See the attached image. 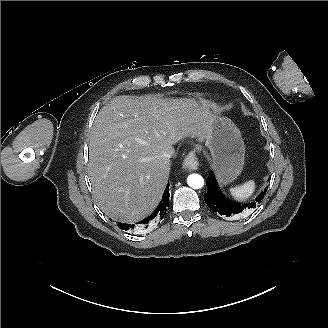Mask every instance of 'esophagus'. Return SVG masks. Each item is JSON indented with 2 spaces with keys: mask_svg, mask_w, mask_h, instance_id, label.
Wrapping results in <instances>:
<instances>
[{
  "mask_svg": "<svg viewBox=\"0 0 328 328\" xmlns=\"http://www.w3.org/2000/svg\"><path fill=\"white\" fill-rule=\"evenodd\" d=\"M199 162L194 151H190L183 161V167L185 169L196 170L198 169Z\"/></svg>",
  "mask_w": 328,
  "mask_h": 328,
  "instance_id": "obj_1",
  "label": "esophagus"
}]
</instances>
